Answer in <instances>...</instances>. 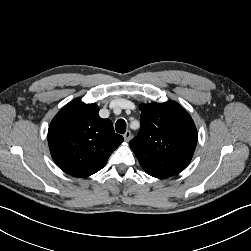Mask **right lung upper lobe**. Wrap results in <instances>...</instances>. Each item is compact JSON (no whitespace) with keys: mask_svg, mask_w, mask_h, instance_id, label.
Here are the masks:
<instances>
[{"mask_svg":"<svg viewBox=\"0 0 251 251\" xmlns=\"http://www.w3.org/2000/svg\"><path fill=\"white\" fill-rule=\"evenodd\" d=\"M96 104L76 98L53 118L48 144L56 165L74 177H88L102 169L124 141L109 119H102Z\"/></svg>","mask_w":251,"mask_h":251,"instance_id":"1","label":"right lung upper lobe"}]
</instances>
